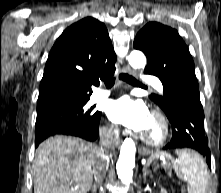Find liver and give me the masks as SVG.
<instances>
[{
    "label": "liver",
    "instance_id": "liver-1",
    "mask_svg": "<svg viewBox=\"0 0 221 193\" xmlns=\"http://www.w3.org/2000/svg\"><path fill=\"white\" fill-rule=\"evenodd\" d=\"M99 153L98 146L76 137L47 139L34 159V193L89 192Z\"/></svg>",
    "mask_w": 221,
    "mask_h": 193
}]
</instances>
